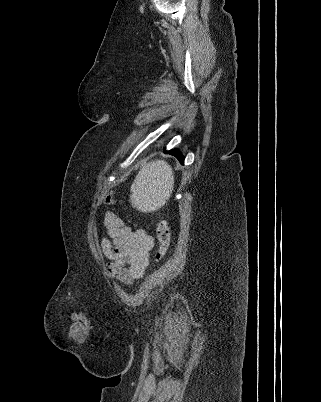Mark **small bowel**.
I'll return each mask as SVG.
<instances>
[{"label":"small bowel","instance_id":"c3829d8e","mask_svg":"<svg viewBox=\"0 0 321 402\" xmlns=\"http://www.w3.org/2000/svg\"><path fill=\"white\" fill-rule=\"evenodd\" d=\"M107 237L100 245L104 256L110 260L107 266L109 274L124 284H132L142 278L150 262V251L154 247L153 237L145 229L133 230L114 212L104 215ZM82 318V313H76ZM74 339H86L89 328L88 320H72ZM83 345V340H78Z\"/></svg>","mask_w":321,"mask_h":402}]
</instances>
